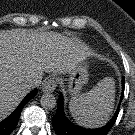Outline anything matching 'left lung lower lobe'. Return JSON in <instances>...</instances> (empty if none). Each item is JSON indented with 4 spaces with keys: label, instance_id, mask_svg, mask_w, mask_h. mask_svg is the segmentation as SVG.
Segmentation results:
<instances>
[{
    "label": "left lung lower lobe",
    "instance_id": "0a47b994",
    "mask_svg": "<svg viewBox=\"0 0 135 135\" xmlns=\"http://www.w3.org/2000/svg\"><path fill=\"white\" fill-rule=\"evenodd\" d=\"M123 92H124V78L122 79ZM122 92L121 101L124 93ZM119 113L117 109L112 120L102 128L99 129H85L72 124L65 116L63 111V96L60 94L57 103V112L52 118L53 128L57 135H106L114 125Z\"/></svg>",
    "mask_w": 135,
    "mask_h": 135
}]
</instances>
